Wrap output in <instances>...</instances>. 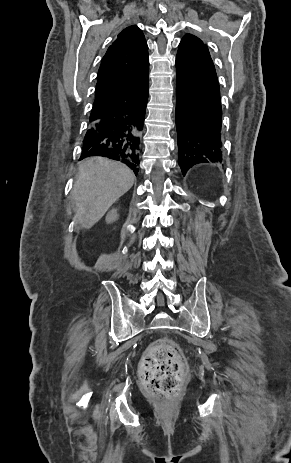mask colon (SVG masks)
<instances>
[{
  "mask_svg": "<svg viewBox=\"0 0 291 463\" xmlns=\"http://www.w3.org/2000/svg\"><path fill=\"white\" fill-rule=\"evenodd\" d=\"M140 369L146 391L162 401L177 393L186 376L178 347L167 340L147 349Z\"/></svg>",
  "mask_w": 291,
  "mask_h": 463,
  "instance_id": "colon-1",
  "label": "colon"
}]
</instances>
